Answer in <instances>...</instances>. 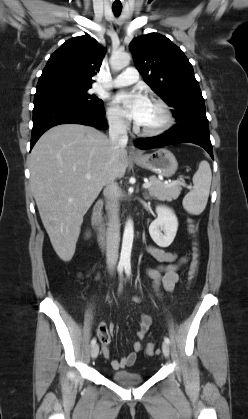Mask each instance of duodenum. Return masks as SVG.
Instances as JSON below:
<instances>
[{
	"instance_id": "1",
	"label": "duodenum",
	"mask_w": 248,
	"mask_h": 419,
	"mask_svg": "<svg viewBox=\"0 0 248 419\" xmlns=\"http://www.w3.org/2000/svg\"><path fill=\"white\" fill-rule=\"evenodd\" d=\"M103 205H104L103 201L98 200L94 205L92 216H91L92 225L97 234L98 242L101 245H104L106 241V228L102 219Z\"/></svg>"
}]
</instances>
